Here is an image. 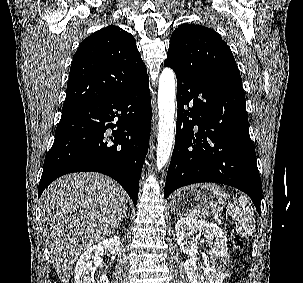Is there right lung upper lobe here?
<instances>
[{
    "label": "right lung upper lobe",
    "mask_w": 303,
    "mask_h": 283,
    "mask_svg": "<svg viewBox=\"0 0 303 283\" xmlns=\"http://www.w3.org/2000/svg\"><path fill=\"white\" fill-rule=\"evenodd\" d=\"M148 80L134 37L110 25L82 41L71 64L62 113L127 92Z\"/></svg>",
    "instance_id": "1"
}]
</instances>
